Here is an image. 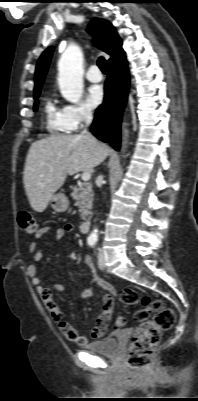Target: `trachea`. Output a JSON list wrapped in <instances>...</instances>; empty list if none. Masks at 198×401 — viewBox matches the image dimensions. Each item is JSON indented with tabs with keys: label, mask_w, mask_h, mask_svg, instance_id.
<instances>
[{
	"label": "trachea",
	"mask_w": 198,
	"mask_h": 401,
	"mask_svg": "<svg viewBox=\"0 0 198 401\" xmlns=\"http://www.w3.org/2000/svg\"><path fill=\"white\" fill-rule=\"evenodd\" d=\"M97 65L99 66L100 70H101L103 73H106V72H107V65H106V61H105L104 57H99V58H98V60H97Z\"/></svg>",
	"instance_id": "1"
}]
</instances>
